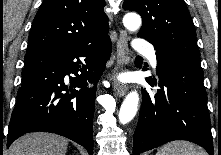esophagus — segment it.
<instances>
[{"label":"esophagus","mask_w":221,"mask_h":155,"mask_svg":"<svg viewBox=\"0 0 221 155\" xmlns=\"http://www.w3.org/2000/svg\"><path fill=\"white\" fill-rule=\"evenodd\" d=\"M128 49V35L125 30H120L118 43H117V65L115 70H121L129 62ZM127 86L121 85L116 82L115 92L119 97H123L127 92Z\"/></svg>","instance_id":"esophagus-1"}]
</instances>
